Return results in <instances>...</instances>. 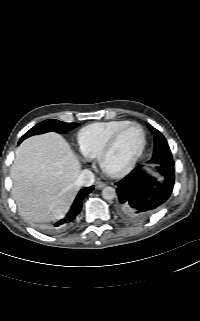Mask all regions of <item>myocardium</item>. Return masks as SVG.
Segmentation results:
<instances>
[{"label": "myocardium", "mask_w": 200, "mask_h": 321, "mask_svg": "<svg viewBox=\"0 0 200 321\" xmlns=\"http://www.w3.org/2000/svg\"><path fill=\"white\" fill-rule=\"evenodd\" d=\"M131 126H136L141 130V132H142L141 145H140L139 149L137 150V152L135 153V155L132 157V159L129 161V163L125 167H123L122 169H119V170H110L106 166V158L110 154V152L113 150V148L115 147L120 135L127 128H129ZM146 143H147V137H146V131H145L144 127L137 122H129V123L123 125L122 127H120L118 130H116L114 132V134L110 137V139L106 142L104 147L101 149V151L97 157L99 166L101 167V169L103 170V172L105 174H107L108 176H110L112 178L124 177L134 168V166L138 162L139 158L141 157L142 153L145 150Z\"/></svg>", "instance_id": "obj_1"}]
</instances>
